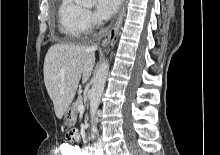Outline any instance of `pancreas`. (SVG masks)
Instances as JSON below:
<instances>
[{"label":"pancreas","instance_id":"cf45deb5","mask_svg":"<svg viewBox=\"0 0 220 155\" xmlns=\"http://www.w3.org/2000/svg\"><path fill=\"white\" fill-rule=\"evenodd\" d=\"M83 103V99H82V97L81 96H79L78 98H77V100L74 102V104H73V110H74V112H78L79 111V109H78V107H79V105H81Z\"/></svg>","mask_w":220,"mask_h":155}]
</instances>
